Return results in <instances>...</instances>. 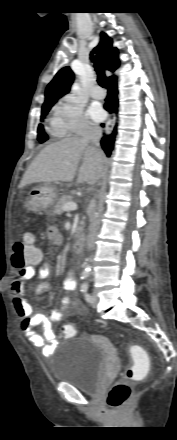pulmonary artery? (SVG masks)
I'll list each match as a JSON object with an SVG mask.
<instances>
[{"label": "pulmonary artery", "mask_w": 177, "mask_h": 440, "mask_svg": "<svg viewBox=\"0 0 177 440\" xmlns=\"http://www.w3.org/2000/svg\"><path fill=\"white\" fill-rule=\"evenodd\" d=\"M91 97L94 99H102L104 97V92L100 87H95L91 91Z\"/></svg>", "instance_id": "e3ab8cb5"}]
</instances>
